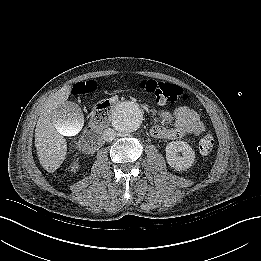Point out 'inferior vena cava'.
<instances>
[{
	"mask_svg": "<svg viewBox=\"0 0 261 261\" xmlns=\"http://www.w3.org/2000/svg\"><path fill=\"white\" fill-rule=\"evenodd\" d=\"M116 136V131L112 128H107L103 131V139L105 141H112Z\"/></svg>",
	"mask_w": 261,
	"mask_h": 261,
	"instance_id": "obj_1",
	"label": "inferior vena cava"
}]
</instances>
